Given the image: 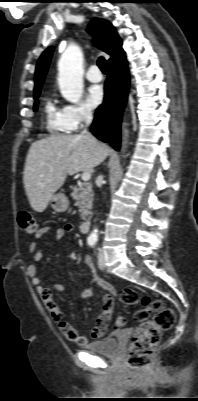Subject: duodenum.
I'll use <instances>...</instances> for the list:
<instances>
[{"label": "duodenum", "instance_id": "1", "mask_svg": "<svg viewBox=\"0 0 198 401\" xmlns=\"http://www.w3.org/2000/svg\"><path fill=\"white\" fill-rule=\"evenodd\" d=\"M91 224H92V218H87L86 220H84L80 225L81 232L87 233L90 229Z\"/></svg>", "mask_w": 198, "mask_h": 401}]
</instances>
